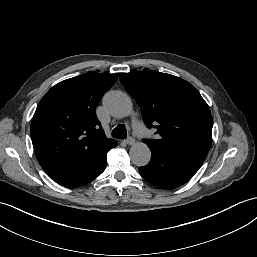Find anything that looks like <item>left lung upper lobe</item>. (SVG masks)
Returning <instances> with one entry per match:
<instances>
[{"mask_svg": "<svg viewBox=\"0 0 257 257\" xmlns=\"http://www.w3.org/2000/svg\"><path fill=\"white\" fill-rule=\"evenodd\" d=\"M120 81L141 107L144 122L149 127L158 125L159 137L143 140L148 146L167 151H209L212 116L190 83L155 70L121 73Z\"/></svg>", "mask_w": 257, "mask_h": 257, "instance_id": "obj_1", "label": "left lung upper lobe"}]
</instances>
